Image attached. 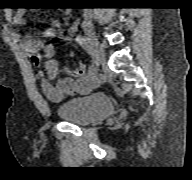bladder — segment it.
<instances>
[{
  "label": "bladder",
  "mask_w": 192,
  "mask_h": 180,
  "mask_svg": "<svg viewBox=\"0 0 192 180\" xmlns=\"http://www.w3.org/2000/svg\"><path fill=\"white\" fill-rule=\"evenodd\" d=\"M114 111L112 101L102 93L75 98L56 109L61 119L77 125L103 120L110 117Z\"/></svg>",
  "instance_id": "obj_1"
}]
</instances>
